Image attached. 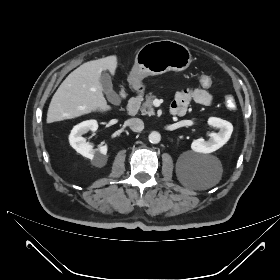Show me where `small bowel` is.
<instances>
[{
  "mask_svg": "<svg viewBox=\"0 0 280 280\" xmlns=\"http://www.w3.org/2000/svg\"><path fill=\"white\" fill-rule=\"evenodd\" d=\"M191 102L207 106L213 102V95L209 88L190 89L183 93H178L172 102V107L178 110L179 115H183Z\"/></svg>",
  "mask_w": 280,
  "mask_h": 280,
  "instance_id": "obj_1",
  "label": "small bowel"
}]
</instances>
